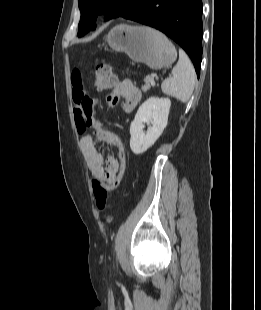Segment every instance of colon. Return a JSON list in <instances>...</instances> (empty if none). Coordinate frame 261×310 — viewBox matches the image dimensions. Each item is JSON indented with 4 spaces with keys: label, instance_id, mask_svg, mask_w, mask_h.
Wrapping results in <instances>:
<instances>
[{
    "label": "colon",
    "instance_id": "colon-1",
    "mask_svg": "<svg viewBox=\"0 0 261 310\" xmlns=\"http://www.w3.org/2000/svg\"><path fill=\"white\" fill-rule=\"evenodd\" d=\"M115 80L116 79L110 68L107 65L102 64L95 70L93 86L97 92H105L114 85ZM113 146L115 147L119 163V170L115 179L110 183L103 182L96 178L92 181L95 202L97 207L101 210L106 206L108 192L119 186L126 168V152L123 144L119 140H114Z\"/></svg>",
    "mask_w": 261,
    "mask_h": 310
}]
</instances>
